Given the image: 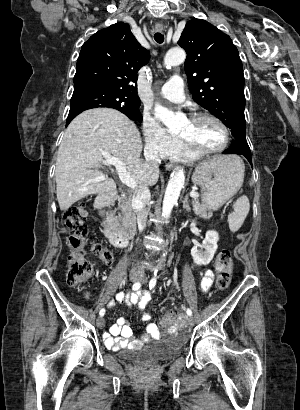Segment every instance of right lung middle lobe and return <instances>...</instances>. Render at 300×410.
<instances>
[{"instance_id": "obj_1", "label": "right lung middle lobe", "mask_w": 300, "mask_h": 410, "mask_svg": "<svg viewBox=\"0 0 300 410\" xmlns=\"http://www.w3.org/2000/svg\"><path fill=\"white\" fill-rule=\"evenodd\" d=\"M96 107L114 108L132 120L142 121V115L138 110L140 105H134L124 94L95 84H74V92L67 119L74 118L84 110Z\"/></svg>"}]
</instances>
